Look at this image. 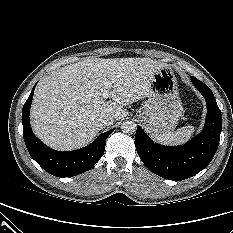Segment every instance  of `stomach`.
<instances>
[{"label": "stomach", "instance_id": "obj_1", "mask_svg": "<svg viewBox=\"0 0 233 233\" xmlns=\"http://www.w3.org/2000/svg\"><path fill=\"white\" fill-rule=\"evenodd\" d=\"M183 114L176 77L169 67L154 73L147 99L137 116L156 136L173 130Z\"/></svg>", "mask_w": 233, "mask_h": 233}]
</instances>
